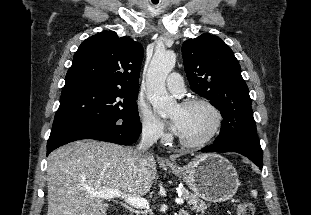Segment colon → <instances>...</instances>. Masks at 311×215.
<instances>
[{"mask_svg":"<svg viewBox=\"0 0 311 215\" xmlns=\"http://www.w3.org/2000/svg\"><path fill=\"white\" fill-rule=\"evenodd\" d=\"M236 215H256L254 205L249 201H240L236 205Z\"/></svg>","mask_w":311,"mask_h":215,"instance_id":"5ec220e1","label":"colon"}]
</instances>
